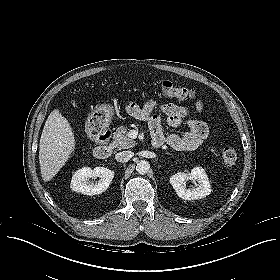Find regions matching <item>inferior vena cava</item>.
Masks as SVG:
<instances>
[{"label":"inferior vena cava","instance_id":"obj_1","mask_svg":"<svg viewBox=\"0 0 280 280\" xmlns=\"http://www.w3.org/2000/svg\"><path fill=\"white\" fill-rule=\"evenodd\" d=\"M133 156L134 153L132 151H122L115 155V159L118 162H128Z\"/></svg>","mask_w":280,"mask_h":280}]
</instances>
